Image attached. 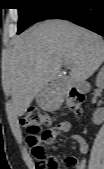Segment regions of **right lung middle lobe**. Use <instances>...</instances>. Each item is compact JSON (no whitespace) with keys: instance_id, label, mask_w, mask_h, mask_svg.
Segmentation results:
<instances>
[{"instance_id":"1","label":"right lung middle lobe","mask_w":104,"mask_h":169,"mask_svg":"<svg viewBox=\"0 0 104 169\" xmlns=\"http://www.w3.org/2000/svg\"><path fill=\"white\" fill-rule=\"evenodd\" d=\"M74 1L75 0H16V4L19 6L17 34H20L33 23L49 19L63 6Z\"/></svg>"}]
</instances>
